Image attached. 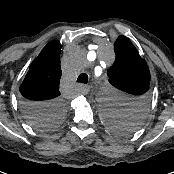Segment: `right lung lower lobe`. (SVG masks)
<instances>
[{
  "label": "right lung lower lobe",
  "mask_w": 174,
  "mask_h": 174,
  "mask_svg": "<svg viewBox=\"0 0 174 174\" xmlns=\"http://www.w3.org/2000/svg\"><path fill=\"white\" fill-rule=\"evenodd\" d=\"M49 105H51V104H49ZM49 105L45 104V103H30V102H25V101L22 102V108H23V111L25 113H27L28 111H33V110H39V109H42V108H46Z\"/></svg>",
  "instance_id": "right-lung-lower-lobe-1"
}]
</instances>
